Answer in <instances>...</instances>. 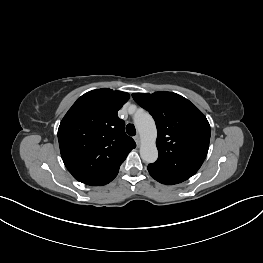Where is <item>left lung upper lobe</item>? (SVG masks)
<instances>
[{"instance_id":"5c2ea615","label":"left lung upper lobe","mask_w":263,"mask_h":263,"mask_svg":"<svg viewBox=\"0 0 263 263\" xmlns=\"http://www.w3.org/2000/svg\"><path fill=\"white\" fill-rule=\"evenodd\" d=\"M133 99L154 118L158 160L151 169L172 178L189 179L206 158L210 125L189 100L173 92L133 93Z\"/></svg>"}]
</instances>
